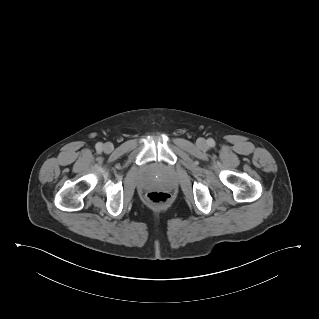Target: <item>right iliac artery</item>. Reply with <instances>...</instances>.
Returning <instances> with one entry per match:
<instances>
[{"label": "right iliac artery", "mask_w": 319, "mask_h": 319, "mask_svg": "<svg viewBox=\"0 0 319 319\" xmlns=\"http://www.w3.org/2000/svg\"><path fill=\"white\" fill-rule=\"evenodd\" d=\"M96 149H97L98 151H101V149H102V143H97V144H96Z\"/></svg>", "instance_id": "obj_1"}]
</instances>
